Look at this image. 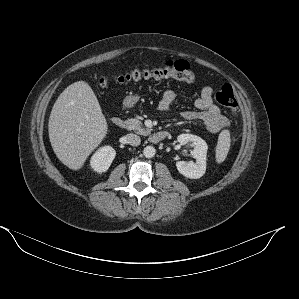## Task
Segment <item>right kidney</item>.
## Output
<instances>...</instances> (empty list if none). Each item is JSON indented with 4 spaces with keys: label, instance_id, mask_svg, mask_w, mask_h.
<instances>
[{
    "label": "right kidney",
    "instance_id": "obj_1",
    "mask_svg": "<svg viewBox=\"0 0 299 299\" xmlns=\"http://www.w3.org/2000/svg\"><path fill=\"white\" fill-rule=\"evenodd\" d=\"M116 155L115 150L110 146L100 148L91 158V167L98 173L108 170Z\"/></svg>",
    "mask_w": 299,
    "mask_h": 299
}]
</instances>
